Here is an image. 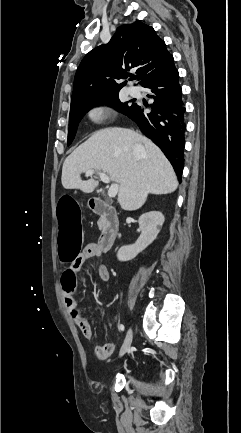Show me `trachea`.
Wrapping results in <instances>:
<instances>
[{
  "label": "trachea",
  "mask_w": 241,
  "mask_h": 433,
  "mask_svg": "<svg viewBox=\"0 0 241 433\" xmlns=\"http://www.w3.org/2000/svg\"><path fill=\"white\" fill-rule=\"evenodd\" d=\"M132 79H136V77H132Z\"/></svg>",
  "instance_id": "1"
}]
</instances>
